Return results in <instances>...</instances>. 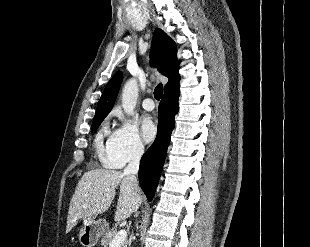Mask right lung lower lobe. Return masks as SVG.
<instances>
[{"mask_svg":"<svg viewBox=\"0 0 310 247\" xmlns=\"http://www.w3.org/2000/svg\"><path fill=\"white\" fill-rule=\"evenodd\" d=\"M179 95V86L164 92L159 104L157 137L140 162L138 175L140 186L149 201L154 197L161 175L171 132L174 128V116L179 110Z\"/></svg>","mask_w":310,"mask_h":247,"instance_id":"right-lung-lower-lobe-1","label":"right lung lower lobe"}]
</instances>
